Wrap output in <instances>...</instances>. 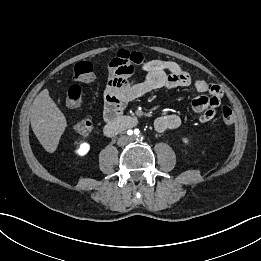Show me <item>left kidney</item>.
Returning a JSON list of instances; mask_svg holds the SVG:
<instances>
[{"label": "left kidney", "instance_id": "obj_1", "mask_svg": "<svg viewBox=\"0 0 261 261\" xmlns=\"http://www.w3.org/2000/svg\"><path fill=\"white\" fill-rule=\"evenodd\" d=\"M183 141H184L185 143H188L187 138H183Z\"/></svg>", "mask_w": 261, "mask_h": 261}]
</instances>
